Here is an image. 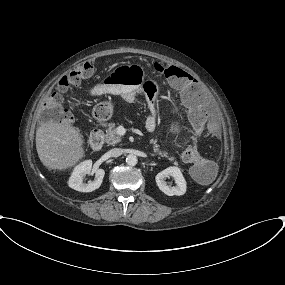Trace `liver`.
I'll return each mask as SVG.
<instances>
[{"label":"liver","instance_id":"obj_1","mask_svg":"<svg viewBox=\"0 0 285 285\" xmlns=\"http://www.w3.org/2000/svg\"><path fill=\"white\" fill-rule=\"evenodd\" d=\"M83 136L69 121H49L36 131V149L42 164L50 170H66L84 156Z\"/></svg>","mask_w":285,"mask_h":285}]
</instances>
